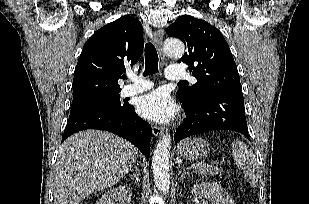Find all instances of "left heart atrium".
I'll return each instance as SVG.
<instances>
[{
    "label": "left heart atrium",
    "instance_id": "1",
    "mask_svg": "<svg viewBox=\"0 0 309 204\" xmlns=\"http://www.w3.org/2000/svg\"><path fill=\"white\" fill-rule=\"evenodd\" d=\"M139 114L149 120L165 123L176 114V107L163 90H156L142 96L137 103Z\"/></svg>",
    "mask_w": 309,
    "mask_h": 204
}]
</instances>
